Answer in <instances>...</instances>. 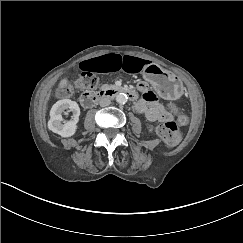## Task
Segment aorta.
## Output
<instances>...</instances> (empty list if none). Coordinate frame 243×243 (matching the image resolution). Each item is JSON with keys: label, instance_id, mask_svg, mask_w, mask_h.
<instances>
[{"label": "aorta", "instance_id": "762f6f07", "mask_svg": "<svg viewBox=\"0 0 243 243\" xmlns=\"http://www.w3.org/2000/svg\"><path fill=\"white\" fill-rule=\"evenodd\" d=\"M127 95L125 93H119L117 96H116V101L120 104H124L127 102Z\"/></svg>", "mask_w": 243, "mask_h": 243}]
</instances>
